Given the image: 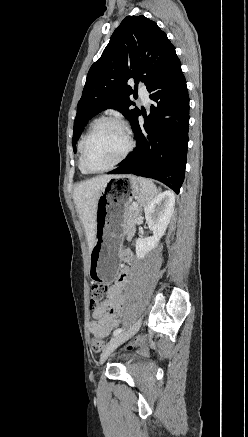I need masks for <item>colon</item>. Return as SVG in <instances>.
I'll return each instance as SVG.
<instances>
[{
    "instance_id": "1",
    "label": "colon",
    "mask_w": 248,
    "mask_h": 437,
    "mask_svg": "<svg viewBox=\"0 0 248 437\" xmlns=\"http://www.w3.org/2000/svg\"><path fill=\"white\" fill-rule=\"evenodd\" d=\"M108 292V286H95L93 285L91 288V305L95 306L100 303V301L104 298V296ZM144 343L142 339H138L128 345V348H132L134 346H140ZM91 349L94 352H100L104 347V342L99 337H93L90 341Z\"/></svg>"
}]
</instances>
